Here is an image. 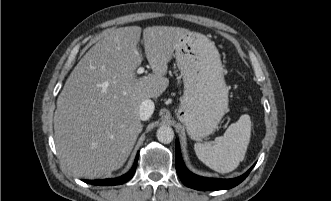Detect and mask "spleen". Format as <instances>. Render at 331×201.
<instances>
[{"mask_svg":"<svg viewBox=\"0 0 331 201\" xmlns=\"http://www.w3.org/2000/svg\"><path fill=\"white\" fill-rule=\"evenodd\" d=\"M251 119L247 114L232 123L223 136L213 142L195 143L194 150L200 161L219 173L235 170L244 160L251 137Z\"/></svg>","mask_w":331,"mask_h":201,"instance_id":"obj_1","label":"spleen"}]
</instances>
